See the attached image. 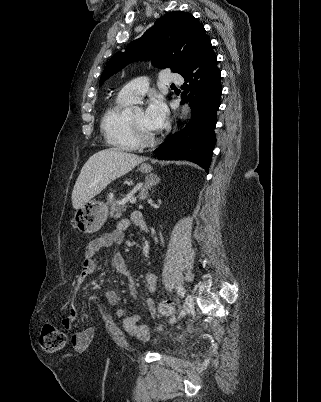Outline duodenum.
Wrapping results in <instances>:
<instances>
[{"label": "duodenum", "mask_w": 321, "mask_h": 402, "mask_svg": "<svg viewBox=\"0 0 321 402\" xmlns=\"http://www.w3.org/2000/svg\"><path fill=\"white\" fill-rule=\"evenodd\" d=\"M135 219H136L137 222L142 223L143 222L142 214L140 212H137L136 215H135Z\"/></svg>", "instance_id": "1"}]
</instances>
